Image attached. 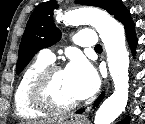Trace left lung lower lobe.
Wrapping results in <instances>:
<instances>
[{"instance_id":"left-lung-lower-lobe-1","label":"left lung lower lobe","mask_w":145,"mask_h":124,"mask_svg":"<svg viewBox=\"0 0 145 124\" xmlns=\"http://www.w3.org/2000/svg\"><path fill=\"white\" fill-rule=\"evenodd\" d=\"M116 19L124 25L129 45L132 49V53L134 54L137 39L135 36L134 24L129 14V11L125 9L119 14V16ZM102 98H103V94L99 96L97 101L94 103V106H97L102 100ZM77 113H82V111L80 110ZM128 122L129 120L126 117L124 120L120 121L118 124H128Z\"/></svg>"}]
</instances>
